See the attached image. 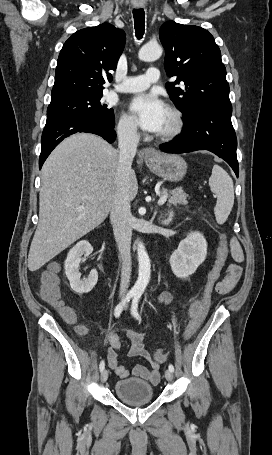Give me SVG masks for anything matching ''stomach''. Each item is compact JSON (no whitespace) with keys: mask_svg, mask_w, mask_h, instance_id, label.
<instances>
[{"mask_svg":"<svg viewBox=\"0 0 272 455\" xmlns=\"http://www.w3.org/2000/svg\"><path fill=\"white\" fill-rule=\"evenodd\" d=\"M146 164L156 175L174 182L182 180L187 171L186 161L176 154L159 153L146 160Z\"/></svg>","mask_w":272,"mask_h":455,"instance_id":"0dacf381","label":"stomach"}]
</instances>
